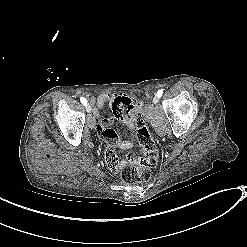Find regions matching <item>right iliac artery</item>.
I'll return each instance as SVG.
<instances>
[{
  "mask_svg": "<svg viewBox=\"0 0 247 247\" xmlns=\"http://www.w3.org/2000/svg\"><path fill=\"white\" fill-rule=\"evenodd\" d=\"M80 101H81V103H82L84 106L87 105V100H86V98L81 97V98H80Z\"/></svg>",
  "mask_w": 247,
  "mask_h": 247,
  "instance_id": "obj_1",
  "label": "right iliac artery"
}]
</instances>
